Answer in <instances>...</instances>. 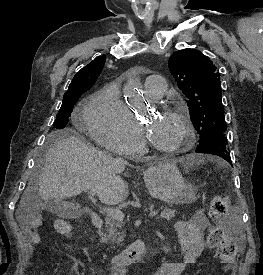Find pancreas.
Instances as JSON below:
<instances>
[{"label": "pancreas", "instance_id": "obj_1", "mask_svg": "<svg viewBox=\"0 0 263 275\" xmlns=\"http://www.w3.org/2000/svg\"><path fill=\"white\" fill-rule=\"evenodd\" d=\"M175 216V210L164 208L160 213L163 219L171 220ZM106 232L101 233V242L106 243L111 241L113 244H120L125 237V232L122 230V223L111 216L105 218Z\"/></svg>", "mask_w": 263, "mask_h": 275}]
</instances>
